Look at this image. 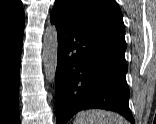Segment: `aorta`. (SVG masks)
<instances>
[{
  "label": "aorta",
  "instance_id": "1",
  "mask_svg": "<svg viewBox=\"0 0 156 124\" xmlns=\"http://www.w3.org/2000/svg\"><path fill=\"white\" fill-rule=\"evenodd\" d=\"M43 65L47 81L55 80L58 61V34L55 25L49 24L43 37Z\"/></svg>",
  "mask_w": 156,
  "mask_h": 124
}]
</instances>
